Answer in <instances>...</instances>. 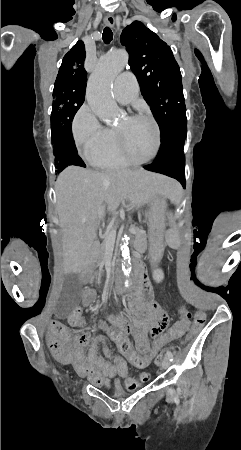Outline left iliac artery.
Returning <instances> with one entry per match:
<instances>
[{"mask_svg":"<svg viewBox=\"0 0 241 450\" xmlns=\"http://www.w3.org/2000/svg\"><path fill=\"white\" fill-rule=\"evenodd\" d=\"M166 355L170 359V361H173V354L171 353V351H167Z\"/></svg>","mask_w":241,"mask_h":450,"instance_id":"obj_1","label":"left iliac artery"}]
</instances>
